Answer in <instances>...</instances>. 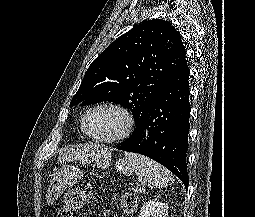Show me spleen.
Returning a JSON list of instances; mask_svg holds the SVG:
<instances>
[{
    "instance_id": "obj_1",
    "label": "spleen",
    "mask_w": 255,
    "mask_h": 217,
    "mask_svg": "<svg viewBox=\"0 0 255 217\" xmlns=\"http://www.w3.org/2000/svg\"><path fill=\"white\" fill-rule=\"evenodd\" d=\"M125 158L138 178L144 180L149 187L162 188L174 183L171 172L150 158L134 153H126Z\"/></svg>"
}]
</instances>
